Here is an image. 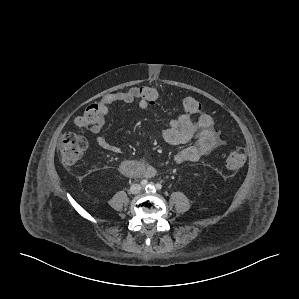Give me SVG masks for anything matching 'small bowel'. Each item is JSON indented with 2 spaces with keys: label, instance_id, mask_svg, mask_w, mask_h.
<instances>
[{
  "label": "small bowel",
  "instance_id": "c3829d8e",
  "mask_svg": "<svg viewBox=\"0 0 299 299\" xmlns=\"http://www.w3.org/2000/svg\"><path fill=\"white\" fill-rule=\"evenodd\" d=\"M114 103H136L142 110H147L151 106L141 96L138 87L108 93L99 100L101 117L97 123L90 127V131L95 135V141L99 147L112 153H120L121 150L117 145L100 135L106 122L109 106ZM162 136L167 143L172 145L185 144L195 139L192 145L183 148L174 155L173 160L178 164L198 161L222 141L221 135L214 129L212 117L206 113H200L196 120H192L184 114L171 118ZM138 164L140 166L139 176L149 178L156 174V169L151 165L145 162Z\"/></svg>",
  "mask_w": 299,
  "mask_h": 299
}]
</instances>
